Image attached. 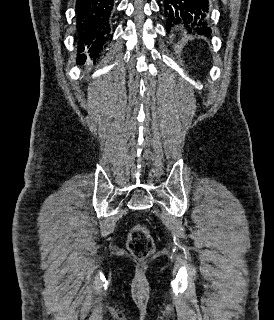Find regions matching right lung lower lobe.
Instances as JSON below:
<instances>
[{
    "label": "right lung lower lobe",
    "instance_id": "right-lung-lower-lobe-1",
    "mask_svg": "<svg viewBox=\"0 0 274 320\" xmlns=\"http://www.w3.org/2000/svg\"><path fill=\"white\" fill-rule=\"evenodd\" d=\"M113 8L114 0H77L76 27L79 52L89 49L90 57H97L110 36ZM85 60V54L78 55L79 62Z\"/></svg>",
    "mask_w": 274,
    "mask_h": 320
}]
</instances>
